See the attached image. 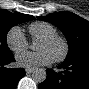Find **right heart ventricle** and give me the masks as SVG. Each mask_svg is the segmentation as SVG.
Here are the masks:
<instances>
[{"instance_id": "e07e8e85", "label": "right heart ventricle", "mask_w": 89, "mask_h": 89, "mask_svg": "<svg viewBox=\"0 0 89 89\" xmlns=\"http://www.w3.org/2000/svg\"><path fill=\"white\" fill-rule=\"evenodd\" d=\"M29 33L34 40H38L45 36L55 35L57 29L48 22H34L29 25Z\"/></svg>"}]
</instances>
